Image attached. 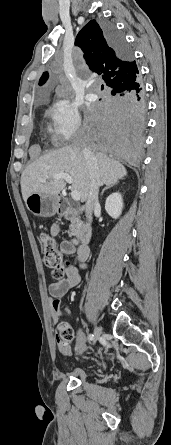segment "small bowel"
Masks as SVG:
<instances>
[{
  "label": "small bowel",
  "instance_id": "c3829d8e",
  "mask_svg": "<svg viewBox=\"0 0 171 445\" xmlns=\"http://www.w3.org/2000/svg\"><path fill=\"white\" fill-rule=\"evenodd\" d=\"M50 233L53 237H57L60 233V227L56 224L50 228ZM60 251L65 255L76 254L73 262L67 264L64 269L65 277L61 280L53 282L49 286V291L53 296L50 300V310L52 314L53 323L57 324L63 313L60 303V298L63 297L70 289L75 287L80 282V272L87 267V260L89 257V250L86 246L78 244L76 239L64 240L60 244ZM77 346L83 347L85 343V335L79 330L77 332ZM58 348L64 356H71L72 349L69 345L58 343Z\"/></svg>",
  "mask_w": 171,
  "mask_h": 445
}]
</instances>
